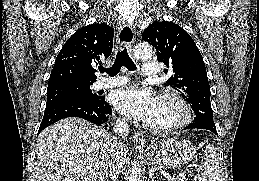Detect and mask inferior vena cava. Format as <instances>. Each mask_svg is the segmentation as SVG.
Returning <instances> with one entry per match:
<instances>
[{
    "label": "inferior vena cava",
    "instance_id": "602c4592",
    "mask_svg": "<svg viewBox=\"0 0 259 181\" xmlns=\"http://www.w3.org/2000/svg\"><path fill=\"white\" fill-rule=\"evenodd\" d=\"M114 132L116 136L114 137L115 145L114 149L111 153V161L109 165L110 176L113 181H117L119 174L121 173V162H120V151L125 149V145L122 140L118 139V137L126 138L129 135V125L127 119L118 118L114 125ZM118 136V137H117Z\"/></svg>",
    "mask_w": 259,
    "mask_h": 181
}]
</instances>
